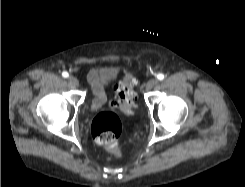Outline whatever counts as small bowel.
Masks as SVG:
<instances>
[{
    "label": "small bowel",
    "mask_w": 245,
    "mask_h": 187,
    "mask_svg": "<svg viewBox=\"0 0 245 187\" xmlns=\"http://www.w3.org/2000/svg\"><path fill=\"white\" fill-rule=\"evenodd\" d=\"M108 71L99 67H94L89 71L88 79L94 94L92 100V109L101 108L107 100V95L104 87V81L107 77Z\"/></svg>",
    "instance_id": "obj_1"
}]
</instances>
